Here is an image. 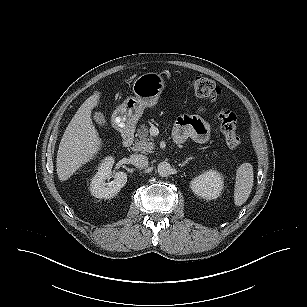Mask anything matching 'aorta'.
<instances>
[{"instance_id":"762f6f07","label":"aorta","mask_w":307,"mask_h":307,"mask_svg":"<svg viewBox=\"0 0 307 307\" xmlns=\"http://www.w3.org/2000/svg\"><path fill=\"white\" fill-rule=\"evenodd\" d=\"M172 172V167L168 162H160L158 164V173L161 177H168Z\"/></svg>"}]
</instances>
